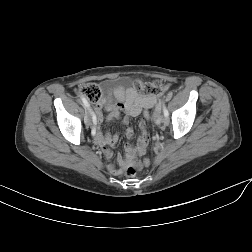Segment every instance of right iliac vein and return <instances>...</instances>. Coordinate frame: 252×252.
I'll return each instance as SVG.
<instances>
[{"instance_id": "obj_1", "label": "right iliac vein", "mask_w": 252, "mask_h": 252, "mask_svg": "<svg viewBox=\"0 0 252 252\" xmlns=\"http://www.w3.org/2000/svg\"><path fill=\"white\" fill-rule=\"evenodd\" d=\"M84 120H85L86 125H91L92 124V114H91L90 111L86 112Z\"/></svg>"}]
</instances>
